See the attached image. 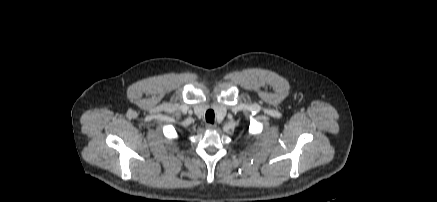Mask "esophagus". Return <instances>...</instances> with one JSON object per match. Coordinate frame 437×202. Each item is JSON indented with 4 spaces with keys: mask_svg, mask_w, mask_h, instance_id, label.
I'll use <instances>...</instances> for the list:
<instances>
[{
    "mask_svg": "<svg viewBox=\"0 0 437 202\" xmlns=\"http://www.w3.org/2000/svg\"><path fill=\"white\" fill-rule=\"evenodd\" d=\"M206 128H207L208 130H214V129L217 128V126L214 125V124L208 123V124H206Z\"/></svg>",
    "mask_w": 437,
    "mask_h": 202,
    "instance_id": "obj_1",
    "label": "esophagus"
}]
</instances>
